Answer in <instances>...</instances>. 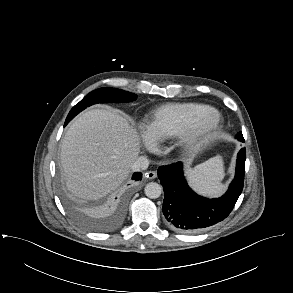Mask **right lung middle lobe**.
Returning <instances> with one entry per match:
<instances>
[{"label": "right lung middle lobe", "instance_id": "1", "mask_svg": "<svg viewBox=\"0 0 293 293\" xmlns=\"http://www.w3.org/2000/svg\"><path fill=\"white\" fill-rule=\"evenodd\" d=\"M136 95L121 89L116 88H99L86 95L79 103H77L69 112L65 125L73 119L78 113L86 107L97 103H117V102H130L136 99ZM83 221V220H82ZM87 227L91 229H99L98 225L84 222Z\"/></svg>", "mask_w": 293, "mask_h": 293}]
</instances>
